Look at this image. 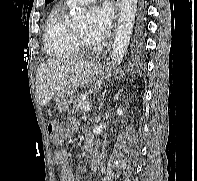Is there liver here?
<instances>
[{
	"instance_id": "6515ba94",
	"label": "liver",
	"mask_w": 197,
	"mask_h": 181,
	"mask_svg": "<svg viewBox=\"0 0 197 181\" xmlns=\"http://www.w3.org/2000/svg\"><path fill=\"white\" fill-rule=\"evenodd\" d=\"M96 74V66L78 59L48 60L40 65L36 74V95L46 105L58 91L87 85Z\"/></svg>"
}]
</instances>
